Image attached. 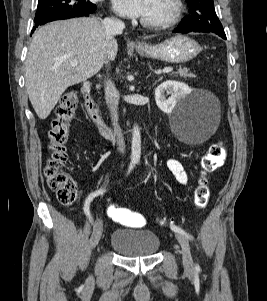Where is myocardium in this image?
I'll use <instances>...</instances> for the list:
<instances>
[{"label":"myocardium","instance_id":"f54148a6","mask_svg":"<svg viewBox=\"0 0 267 301\" xmlns=\"http://www.w3.org/2000/svg\"><path fill=\"white\" fill-rule=\"evenodd\" d=\"M171 2L172 11L167 17L156 21H148L145 19H141V24L144 27L151 29H165L177 24L183 15L184 3L183 0H171Z\"/></svg>","mask_w":267,"mask_h":301}]
</instances>
